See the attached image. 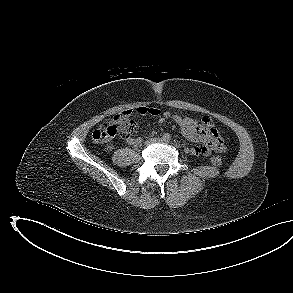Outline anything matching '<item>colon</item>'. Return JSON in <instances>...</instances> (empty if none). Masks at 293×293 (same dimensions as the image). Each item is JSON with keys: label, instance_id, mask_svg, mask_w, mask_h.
Listing matches in <instances>:
<instances>
[{"label": "colon", "instance_id": "obj_1", "mask_svg": "<svg viewBox=\"0 0 293 293\" xmlns=\"http://www.w3.org/2000/svg\"><path fill=\"white\" fill-rule=\"evenodd\" d=\"M137 130L134 120L126 114L115 115L109 119L103 126L93 131V139L97 142L106 141L116 136L129 137ZM211 162L215 166H221L222 161L219 156L211 157Z\"/></svg>", "mask_w": 293, "mask_h": 293}]
</instances>
